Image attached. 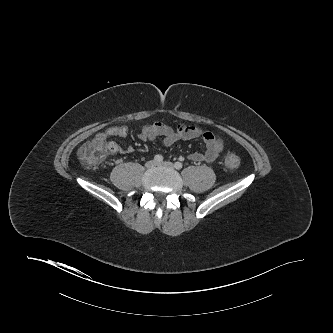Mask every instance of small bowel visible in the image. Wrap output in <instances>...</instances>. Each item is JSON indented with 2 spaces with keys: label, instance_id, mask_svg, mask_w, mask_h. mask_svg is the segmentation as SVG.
<instances>
[{
  "label": "small bowel",
  "instance_id": "c3829d8e",
  "mask_svg": "<svg viewBox=\"0 0 333 333\" xmlns=\"http://www.w3.org/2000/svg\"><path fill=\"white\" fill-rule=\"evenodd\" d=\"M129 129L126 126H112L99 132L96 138H102L107 141L109 137H126ZM161 137L165 146H171L180 140H193L201 137L206 145L205 152H192L188 155V159L193 162L211 163L216 161L224 147L223 140L210 131H203L193 124H179L177 129L171 126L157 122L142 127L139 138L146 142L154 141ZM111 154H126L133 151L132 147L121 148L115 142H108Z\"/></svg>",
  "mask_w": 333,
  "mask_h": 333
}]
</instances>
